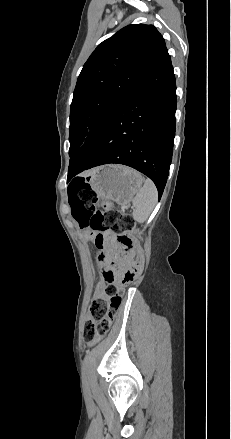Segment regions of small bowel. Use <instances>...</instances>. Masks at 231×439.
I'll return each instance as SVG.
<instances>
[{"mask_svg": "<svg viewBox=\"0 0 231 439\" xmlns=\"http://www.w3.org/2000/svg\"><path fill=\"white\" fill-rule=\"evenodd\" d=\"M111 243H112V237H109V244L107 246L106 252L103 254L101 258V266L103 269L106 268V257H108L111 254ZM103 291V285H99L96 289V294H100Z\"/></svg>", "mask_w": 231, "mask_h": 439, "instance_id": "obj_1", "label": "small bowel"}]
</instances>
